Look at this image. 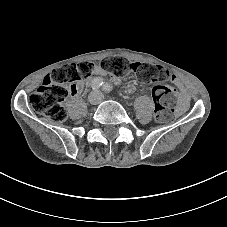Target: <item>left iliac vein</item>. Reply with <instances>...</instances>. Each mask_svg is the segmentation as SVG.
Wrapping results in <instances>:
<instances>
[{"mask_svg":"<svg viewBox=\"0 0 227 227\" xmlns=\"http://www.w3.org/2000/svg\"><path fill=\"white\" fill-rule=\"evenodd\" d=\"M97 95L99 96V98H100L101 100L104 99V96H103L100 92H97Z\"/></svg>","mask_w":227,"mask_h":227,"instance_id":"1","label":"left iliac vein"}]
</instances>
